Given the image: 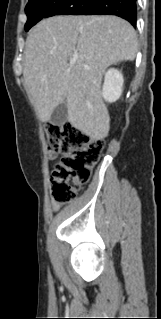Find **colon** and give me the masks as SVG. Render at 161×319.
Returning a JSON list of instances; mask_svg holds the SVG:
<instances>
[{
  "label": "colon",
  "instance_id": "colon-1",
  "mask_svg": "<svg viewBox=\"0 0 161 319\" xmlns=\"http://www.w3.org/2000/svg\"><path fill=\"white\" fill-rule=\"evenodd\" d=\"M46 133L51 155H63L51 174L53 201L68 204L90 179L104 143L68 124H49Z\"/></svg>",
  "mask_w": 161,
  "mask_h": 319
}]
</instances>
